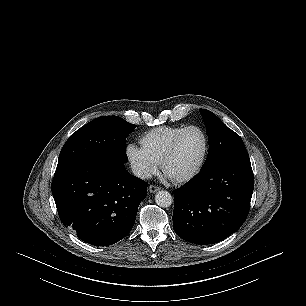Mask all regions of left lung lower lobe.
<instances>
[{"mask_svg":"<svg viewBox=\"0 0 306 306\" xmlns=\"http://www.w3.org/2000/svg\"><path fill=\"white\" fill-rule=\"evenodd\" d=\"M253 188L249 158L223 161L202 170L174 192V231L195 244L224 240L245 222Z\"/></svg>","mask_w":306,"mask_h":306,"instance_id":"1","label":"left lung lower lobe"}]
</instances>
